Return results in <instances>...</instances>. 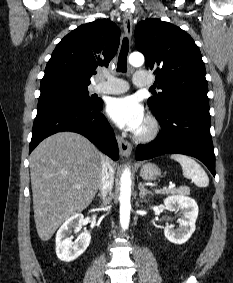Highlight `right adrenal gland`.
I'll return each instance as SVG.
<instances>
[{"mask_svg":"<svg viewBox=\"0 0 233 283\" xmlns=\"http://www.w3.org/2000/svg\"><path fill=\"white\" fill-rule=\"evenodd\" d=\"M98 197H101V195H100V194H98Z\"/></svg>","mask_w":233,"mask_h":283,"instance_id":"2a0ac1e0","label":"right adrenal gland"}]
</instances>
